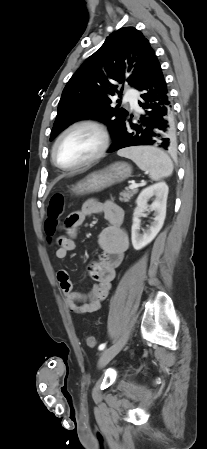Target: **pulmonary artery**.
<instances>
[{
	"label": "pulmonary artery",
	"instance_id": "e3ab8cb5",
	"mask_svg": "<svg viewBox=\"0 0 207 449\" xmlns=\"http://www.w3.org/2000/svg\"><path fill=\"white\" fill-rule=\"evenodd\" d=\"M137 92L135 89L130 88L126 91L125 97L124 99L126 101H128L131 105L132 108L134 109H138V104H137Z\"/></svg>",
	"mask_w": 207,
	"mask_h": 449
}]
</instances>
